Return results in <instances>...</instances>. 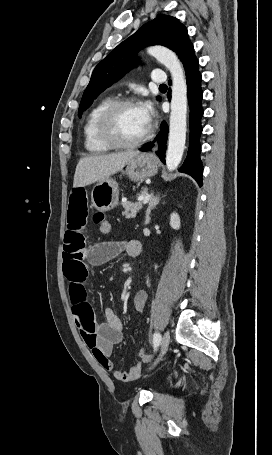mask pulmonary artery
<instances>
[{"mask_svg": "<svg viewBox=\"0 0 272 455\" xmlns=\"http://www.w3.org/2000/svg\"><path fill=\"white\" fill-rule=\"evenodd\" d=\"M154 83L164 84L167 80L166 74L161 70H154L151 74Z\"/></svg>", "mask_w": 272, "mask_h": 455, "instance_id": "1", "label": "pulmonary artery"}]
</instances>
